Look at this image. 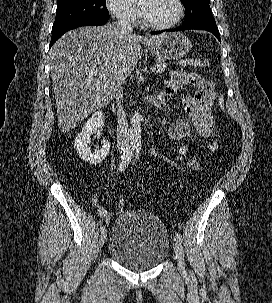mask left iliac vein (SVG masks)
<instances>
[{"label": "left iliac vein", "mask_w": 272, "mask_h": 303, "mask_svg": "<svg viewBox=\"0 0 272 303\" xmlns=\"http://www.w3.org/2000/svg\"><path fill=\"white\" fill-rule=\"evenodd\" d=\"M173 249L175 252L176 259L178 261L179 270L182 273H185V259H184V251L181 242L179 239L175 238L173 240Z\"/></svg>", "instance_id": "obj_1"}]
</instances>
